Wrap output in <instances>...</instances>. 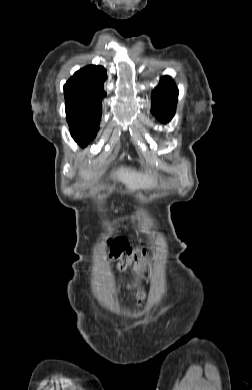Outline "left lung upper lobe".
I'll return each mask as SVG.
<instances>
[{
  "label": "left lung upper lobe",
  "instance_id": "5c2ea615",
  "mask_svg": "<svg viewBox=\"0 0 252 390\" xmlns=\"http://www.w3.org/2000/svg\"><path fill=\"white\" fill-rule=\"evenodd\" d=\"M177 100V87L171 77L164 76L153 91L151 112L159 121L167 123L175 114Z\"/></svg>",
  "mask_w": 252,
  "mask_h": 390
}]
</instances>
